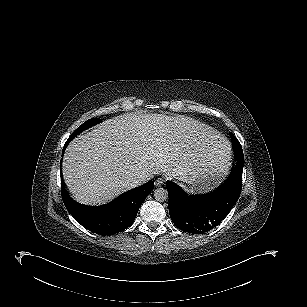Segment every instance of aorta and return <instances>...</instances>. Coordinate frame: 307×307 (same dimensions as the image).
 Here are the masks:
<instances>
[{
    "label": "aorta",
    "instance_id": "obj_1",
    "mask_svg": "<svg viewBox=\"0 0 307 307\" xmlns=\"http://www.w3.org/2000/svg\"><path fill=\"white\" fill-rule=\"evenodd\" d=\"M156 201L164 202L168 199V191L164 188H157L154 191Z\"/></svg>",
    "mask_w": 307,
    "mask_h": 307
}]
</instances>
